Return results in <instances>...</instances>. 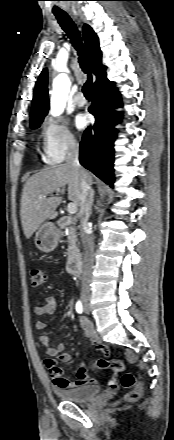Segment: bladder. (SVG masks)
I'll use <instances>...</instances> for the list:
<instances>
[{
  "instance_id": "31cf9c89",
  "label": "bladder",
  "mask_w": 174,
  "mask_h": 440,
  "mask_svg": "<svg viewBox=\"0 0 174 440\" xmlns=\"http://www.w3.org/2000/svg\"><path fill=\"white\" fill-rule=\"evenodd\" d=\"M100 393L96 385H84L69 390H57L56 394L65 401L86 402Z\"/></svg>"
}]
</instances>
